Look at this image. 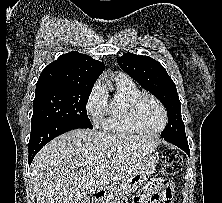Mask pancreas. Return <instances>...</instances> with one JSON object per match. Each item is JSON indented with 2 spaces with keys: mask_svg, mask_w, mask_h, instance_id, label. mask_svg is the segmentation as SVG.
Listing matches in <instances>:
<instances>
[{
  "mask_svg": "<svg viewBox=\"0 0 222 203\" xmlns=\"http://www.w3.org/2000/svg\"><path fill=\"white\" fill-rule=\"evenodd\" d=\"M111 198H119L120 197V190L116 188H113L112 191L110 192ZM116 196V197H115Z\"/></svg>",
  "mask_w": 222,
  "mask_h": 203,
  "instance_id": "pancreas-1",
  "label": "pancreas"
}]
</instances>
